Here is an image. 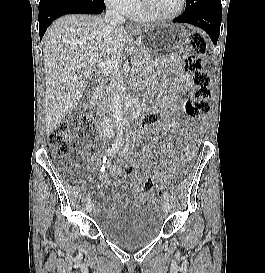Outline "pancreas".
I'll list each match as a JSON object with an SVG mask.
<instances>
[{"mask_svg": "<svg viewBox=\"0 0 265 273\" xmlns=\"http://www.w3.org/2000/svg\"><path fill=\"white\" fill-rule=\"evenodd\" d=\"M131 63L133 66L137 67L139 70L144 68L145 65L148 64V62L151 60V57L149 56V54L142 48L137 47L135 48L131 54ZM123 83V76L118 73H112L111 74V83L110 86L107 87L101 95V105H106L108 103V97L107 95L110 93L111 89L116 87V86H120Z\"/></svg>", "mask_w": 265, "mask_h": 273, "instance_id": "cf45deb5", "label": "pancreas"}]
</instances>
